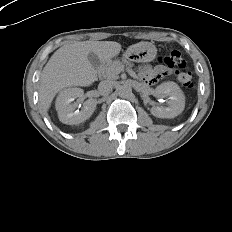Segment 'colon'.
Instances as JSON below:
<instances>
[{
	"mask_svg": "<svg viewBox=\"0 0 232 232\" xmlns=\"http://www.w3.org/2000/svg\"><path fill=\"white\" fill-rule=\"evenodd\" d=\"M159 61L160 65L155 69V72L160 67H167L170 70V73L175 74L178 80L185 87H192V75L186 70V62L183 59L180 51L171 50L164 56L160 57Z\"/></svg>",
	"mask_w": 232,
	"mask_h": 232,
	"instance_id": "obj_1",
	"label": "colon"
}]
</instances>
